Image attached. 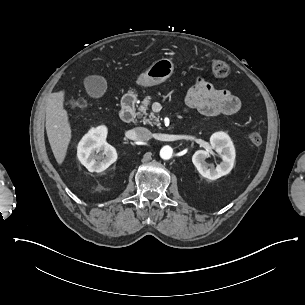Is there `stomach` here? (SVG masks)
Returning <instances> with one entry per match:
<instances>
[{"mask_svg": "<svg viewBox=\"0 0 305 305\" xmlns=\"http://www.w3.org/2000/svg\"><path fill=\"white\" fill-rule=\"evenodd\" d=\"M175 66L171 59L160 58L154 61L136 78V84L141 88H151L166 82L174 74Z\"/></svg>", "mask_w": 305, "mask_h": 305, "instance_id": "0dacf381", "label": "stomach"}]
</instances>
